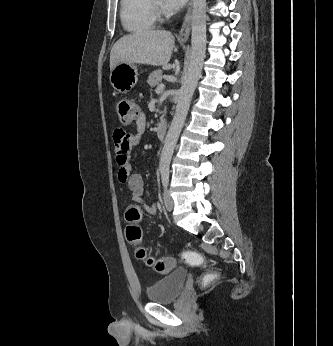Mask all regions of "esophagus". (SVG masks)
<instances>
[{"label":"esophagus","instance_id":"esophagus-1","mask_svg":"<svg viewBox=\"0 0 333 346\" xmlns=\"http://www.w3.org/2000/svg\"><path fill=\"white\" fill-rule=\"evenodd\" d=\"M191 9H192V2H190L188 11L184 17V21L182 24V27L179 32V39L181 41H187L190 35L191 30Z\"/></svg>","mask_w":333,"mask_h":346}]
</instances>
